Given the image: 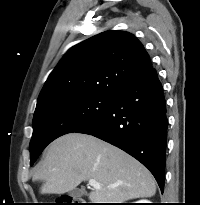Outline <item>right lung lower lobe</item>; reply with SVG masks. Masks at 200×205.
I'll use <instances>...</instances> for the list:
<instances>
[{
    "instance_id": "right-lung-lower-lobe-1",
    "label": "right lung lower lobe",
    "mask_w": 200,
    "mask_h": 205,
    "mask_svg": "<svg viewBox=\"0 0 200 205\" xmlns=\"http://www.w3.org/2000/svg\"><path fill=\"white\" fill-rule=\"evenodd\" d=\"M76 132L102 139L136 158L163 192L167 115L155 69L121 90L101 118Z\"/></svg>"
}]
</instances>
